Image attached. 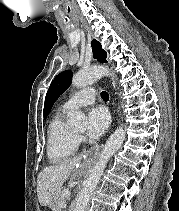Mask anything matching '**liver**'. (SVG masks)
Here are the masks:
<instances>
[{
  "label": "liver",
  "mask_w": 179,
  "mask_h": 211,
  "mask_svg": "<svg viewBox=\"0 0 179 211\" xmlns=\"http://www.w3.org/2000/svg\"><path fill=\"white\" fill-rule=\"evenodd\" d=\"M82 158L76 157L57 165L48 166L38 175L37 196L42 206L51 204L68 177L78 170Z\"/></svg>",
  "instance_id": "6515ba94"
}]
</instances>
